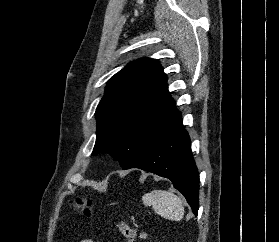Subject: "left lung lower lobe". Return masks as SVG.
<instances>
[{"mask_svg":"<svg viewBox=\"0 0 279 242\" xmlns=\"http://www.w3.org/2000/svg\"><path fill=\"white\" fill-rule=\"evenodd\" d=\"M130 168H140L170 179L197 215L199 176L191 153L190 138L183 128L182 118L124 169Z\"/></svg>","mask_w":279,"mask_h":242,"instance_id":"1","label":"left lung lower lobe"}]
</instances>
